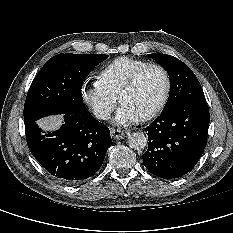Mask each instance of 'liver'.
Returning <instances> with one entry per match:
<instances>
[{"label":"liver","instance_id":"liver-1","mask_svg":"<svg viewBox=\"0 0 233 233\" xmlns=\"http://www.w3.org/2000/svg\"><path fill=\"white\" fill-rule=\"evenodd\" d=\"M38 123L45 130L55 129L57 128V126L60 125V119L59 117L52 116V117L41 119L38 121Z\"/></svg>","mask_w":233,"mask_h":233}]
</instances>
